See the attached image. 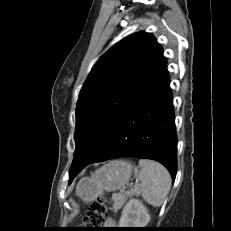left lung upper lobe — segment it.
I'll return each instance as SVG.
<instances>
[{
	"instance_id": "left-lung-upper-lobe-1",
	"label": "left lung upper lobe",
	"mask_w": 231,
	"mask_h": 231,
	"mask_svg": "<svg viewBox=\"0 0 231 231\" xmlns=\"http://www.w3.org/2000/svg\"><path fill=\"white\" fill-rule=\"evenodd\" d=\"M162 53L153 35L137 32L116 43L95 63L77 101L76 148L70 172L88 161L110 123Z\"/></svg>"
}]
</instances>
